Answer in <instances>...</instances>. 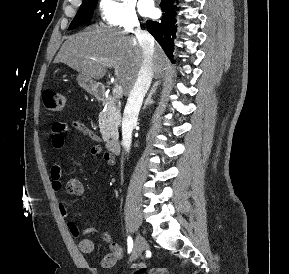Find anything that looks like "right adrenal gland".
Segmentation results:
<instances>
[{"mask_svg": "<svg viewBox=\"0 0 289 274\" xmlns=\"http://www.w3.org/2000/svg\"><path fill=\"white\" fill-rule=\"evenodd\" d=\"M159 84H160V81H157V82L154 83L153 87L151 88V90H150V92H149V94H148V96H147V98H146V100L144 102V105L142 107L143 110L146 109V107L148 105H151V104L155 103L154 100L152 99V96L156 92L157 87L159 86Z\"/></svg>", "mask_w": 289, "mask_h": 274, "instance_id": "2a0ac1e0", "label": "right adrenal gland"}]
</instances>
